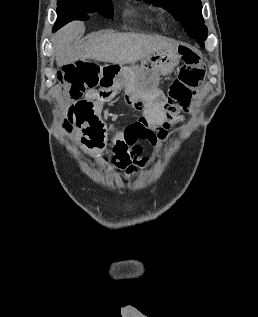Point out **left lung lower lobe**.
Here are the masks:
<instances>
[{
    "instance_id": "1",
    "label": "left lung lower lobe",
    "mask_w": 258,
    "mask_h": 317,
    "mask_svg": "<svg viewBox=\"0 0 258 317\" xmlns=\"http://www.w3.org/2000/svg\"><path fill=\"white\" fill-rule=\"evenodd\" d=\"M205 39H206V38H203V39H202V38H197L196 41H197L202 47H204V41H205Z\"/></svg>"
}]
</instances>
